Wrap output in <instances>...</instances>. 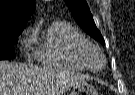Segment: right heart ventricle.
<instances>
[{
    "mask_svg": "<svg viewBox=\"0 0 135 95\" xmlns=\"http://www.w3.org/2000/svg\"><path fill=\"white\" fill-rule=\"evenodd\" d=\"M31 36L36 44L35 56L42 66L79 72L86 69L75 56L74 47L87 40L69 22L54 21L45 28L39 23L31 30Z\"/></svg>",
    "mask_w": 135,
    "mask_h": 95,
    "instance_id": "obj_1",
    "label": "right heart ventricle"
}]
</instances>
